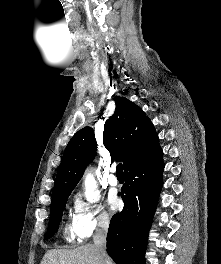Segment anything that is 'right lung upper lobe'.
Returning a JSON list of instances; mask_svg holds the SVG:
<instances>
[{"label": "right lung upper lobe", "mask_w": 221, "mask_h": 264, "mask_svg": "<svg viewBox=\"0 0 221 264\" xmlns=\"http://www.w3.org/2000/svg\"><path fill=\"white\" fill-rule=\"evenodd\" d=\"M103 143L112 159L123 162L124 170L145 164L161 151L159 138L150 119L125 97L116 100L114 114L105 122ZM96 140L91 127L79 130L69 141L59 165L52 200L71 193L81 179L86 165L96 154ZM118 156L115 158L114 155Z\"/></svg>", "instance_id": "cb5924a9"}]
</instances>
